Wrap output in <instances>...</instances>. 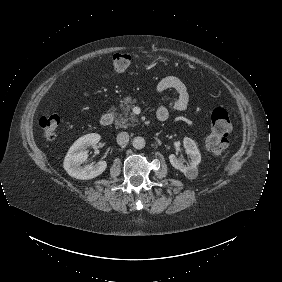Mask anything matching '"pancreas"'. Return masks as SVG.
<instances>
[{
	"label": "pancreas",
	"instance_id": "1",
	"mask_svg": "<svg viewBox=\"0 0 282 282\" xmlns=\"http://www.w3.org/2000/svg\"><path fill=\"white\" fill-rule=\"evenodd\" d=\"M136 100L130 101V98H126L121 104V113L115 119V125L121 128H127L128 126H134L138 122V118L130 110L134 107Z\"/></svg>",
	"mask_w": 282,
	"mask_h": 282
}]
</instances>
